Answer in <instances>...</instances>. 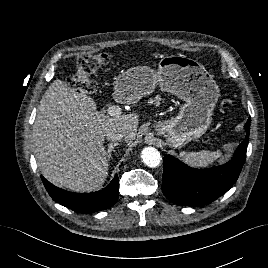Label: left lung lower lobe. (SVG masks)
Wrapping results in <instances>:
<instances>
[{
	"label": "left lung lower lobe",
	"mask_w": 268,
	"mask_h": 268,
	"mask_svg": "<svg viewBox=\"0 0 268 268\" xmlns=\"http://www.w3.org/2000/svg\"><path fill=\"white\" fill-rule=\"evenodd\" d=\"M250 121L249 117L244 126L245 139L237 147L233 158L224 165L209 169H194L166 155L163 159V194L178 205L200 206L207 205L226 193L239 177L245 162Z\"/></svg>",
	"instance_id": "1"
}]
</instances>
